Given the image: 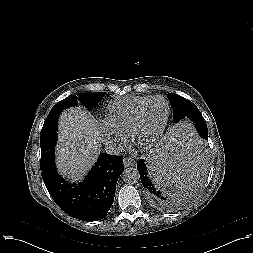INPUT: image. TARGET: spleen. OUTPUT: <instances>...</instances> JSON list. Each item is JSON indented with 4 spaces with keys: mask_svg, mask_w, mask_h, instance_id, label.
<instances>
[{
    "mask_svg": "<svg viewBox=\"0 0 253 253\" xmlns=\"http://www.w3.org/2000/svg\"><path fill=\"white\" fill-rule=\"evenodd\" d=\"M148 165L163 194L182 197L192 192L202 175V153L194 131L186 126L168 130L163 143L152 151Z\"/></svg>",
    "mask_w": 253,
    "mask_h": 253,
    "instance_id": "3e777b00",
    "label": "spleen"
}]
</instances>
